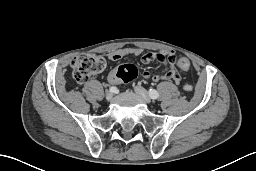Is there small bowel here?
<instances>
[{
    "instance_id": "obj_1",
    "label": "small bowel",
    "mask_w": 256,
    "mask_h": 171,
    "mask_svg": "<svg viewBox=\"0 0 256 171\" xmlns=\"http://www.w3.org/2000/svg\"><path fill=\"white\" fill-rule=\"evenodd\" d=\"M126 56H134L140 58L143 64H148L154 60H158L164 65L163 74H151L150 71L145 70L143 77L145 79H152L154 82H160L164 80H173L178 83L181 80L179 73L175 68V60L179 57L175 52L171 50H161L158 52L143 53V50L138 47H125L113 50L107 54V57L112 61H118ZM108 81L111 84H118L119 78L117 77L116 70H113L108 75Z\"/></svg>"
}]
</instances>
